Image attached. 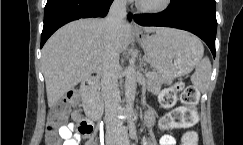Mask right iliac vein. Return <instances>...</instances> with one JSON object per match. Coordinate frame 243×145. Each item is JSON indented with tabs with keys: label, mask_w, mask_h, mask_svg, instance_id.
<instances>
[{
	"label": "right iliac vein",
	"mask_w": 243,
	"mask_h": 145,
	"mask_svg": "<svg viewBox=\"0 0 243 145\" xmlns=\"http://www.w3.org/2000/svg\"><path fill=\"white\" fill-rule=\"evenodd\" d=\"M117 141V136L114 134H107L106 135V144L107 145H115Z\"/></svg>",
	"instance_id": "63e3f726"
}]
</instances>
